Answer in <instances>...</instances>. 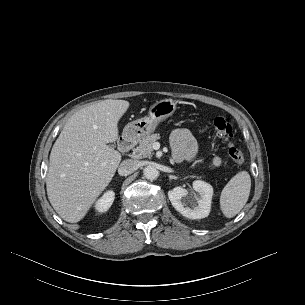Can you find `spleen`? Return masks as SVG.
<instances>
[{"label":"spleen","mask_w":305,"mask_h":305,"mask_svg":"<svg viewBox=\"0 0 305 305\" xmlns=\"http://www.w3.org/2000/svg\"><path fill=\"white\" fill-rule=\"evenodd\" d=\"M251 189V178L247 171H240L223 188L220 208L226 218L236 216L245 206Z\"/></svg>","instance_id":"1"}]
</instances>
